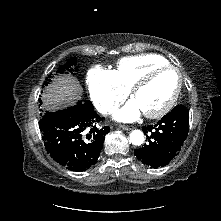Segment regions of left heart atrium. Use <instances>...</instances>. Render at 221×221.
<instances>
[{
    "label": "left heart atrium",
    "mask_w": 221,
    "mask_h": 221,
    "mask_svg": "<svg viewBox=\"0 0 221 221\" xmlns=\"http://www.w3.org/2000/svg\"><path fill=\"white\" fill-rule=\"evenodd\" d=\"M142 110L135 100L128 102L122 109L114 114V118L119 121L131 122L136 120Z\"/></svg>",
    "instance_id": "1"
}]
</instances>
